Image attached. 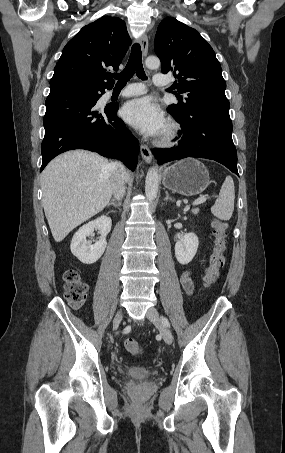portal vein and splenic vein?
<instances>
[{
    "label": "portal vein and splenic vein",
    "mask_w": 285,
    "mask_h": 453,
    "mask_svg": "<svg viewBox=\"0 0 285 453\" xmlns=\"http://www.w3.org/2000/svg\"><path fill=\"white\" fill-rule=\"evenodd\" d=\"M207 200V197L206 196H201L200 198H198L197 200H195L193 202V205H199V204H202L204 202H206Z\"/></svg>",
    "instance_id": "portal-vein-and-splenic-vein-1"
}]
</instances>
